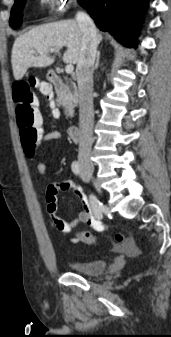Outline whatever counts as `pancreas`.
<instances>
[{
    "label": "pancreas",
    "mask_w": 171,
    "mask_h": 337,
    "mask_svg": "<svg viewBox=\"0 0 171 337\" xmlns=\"http://www.w3.org/2000/svg\"><path fill=\"white\" fill-rule=\"evenodd\" d=\"M57 102L65 109L67 117H72L74 114V108L77 105V92L76 88L72 85H63V87L56 91Z\"/></svg>",
    "instance_id": "pancreas-1"
}]
</instances>
